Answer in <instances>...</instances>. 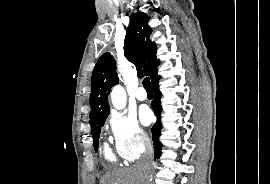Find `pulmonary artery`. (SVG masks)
I'll return each instance as SVG.
<instances>
[{"label":"pulmonary artery","mask_w":270,"mask_h":184,"mask_svg":"<svg viewBox=\"0 0 270 184\" xmlns=\"http://www.w3.org/2000/svg\"><path fill=\"white\" fill-rule=\"evenodd\" d=\"M135 96L138 100L143 101L146 100L147 94L142 87H139L135 93Z\"/></svg>","instance_id":"e3ab8cb5"}]
</instances>
